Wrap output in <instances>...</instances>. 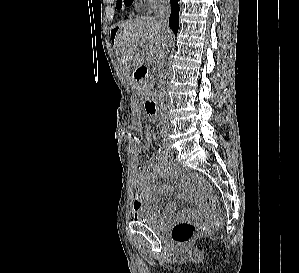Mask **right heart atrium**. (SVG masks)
I'll return each instance as SVG.
<instances>
[{
    "label": "right heart atrium",
    "instance_id": "obj_1",
    "mask_svg": "<svg viewBox=\"0 0 299 273\" xmlns=\"http://www.w3.org/2000/svg\"><path fill=\"white\" fill-rule=\"evenodd\" d=\"M164 0H137L141 8H152Z\"/></svg>",
    "mask_w": 299,
    "mask_h": 273
}]
</instances>
